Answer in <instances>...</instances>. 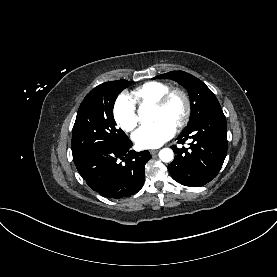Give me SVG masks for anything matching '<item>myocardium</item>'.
<instances>
[{
    "label": "myocardium",
    "mask_w": 277,
    "mask_h": 277,
    "mask_svg": "<svg viewBox=\"0 0 277 277\" xmlns=\"http://www.w3.org/2000/svg\"><path fill=\"white\" fill-rule=\"evenodd\" d=\"M176 96L180 97L184 104L183 112L180 118L178 119L176 126L183 127L188 122L191 115V99L185 90L181 88L169 89L152 106L153 108L163 110L169 105L171 100Z\"/></svg>",
    "instance_id": "1"
}]
</instances>
